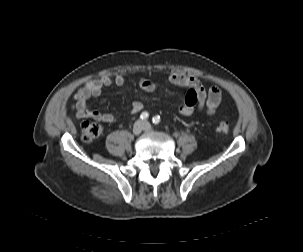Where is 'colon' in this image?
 <instances>
[{
    "instance_id": "obj_1",
    "label": "colon",
    "mask_w": 303,
    "mask_h": 252,
    "mask_svg": "<svg viewBox=\"0 0 303 252\" xmlns=\"http://www.w3.org/2000/svg\"><path fill=\"white\" fill-rule=\"evenodd\" d=\"M194 102V101H193ZM217 130L221 134H228L229 125L226 121H220L217 125ZM102 134V127L98 123L86 122L83 124V138L86 141H93Z\"/></svg>"
}]
</instances>
